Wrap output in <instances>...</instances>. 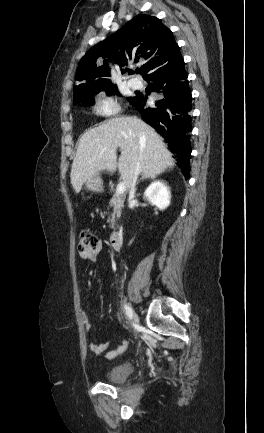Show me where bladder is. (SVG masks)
Segmentation results:
<instances>
[{
	"label": "bladder",
	"instance_id": "31cf9c89",
	"mask_svg": "<svg viewBox=\"0 0 264 433\" xmlns=\"http://www.w3.org/2000/svg\"><path fill=\"white\" fill-rule=\"evenodd\" d=\"M132 372V366L129 363H123L110 368L105 373V379L111 383H120L125 381Z\"/></svg>",
	"mask_w": 264,
	"mask_h": 433
}]
</instances>
